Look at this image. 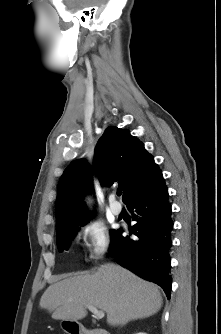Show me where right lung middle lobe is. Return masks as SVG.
Listing matches in <instances>:
<instances>
[{
	"instance_id": "dd1d6c3e",
	"label": "right lung middle lobe",
	"mask_w": 221,
	"mask_h": 334,
	"mask_svg": "<svg viewBox=\"0 0 221 334\" xmlns=\"http://www.w3.org/2000/svg\"><path fill=\"white\" fill-rule=\"evenodd\" d=\"M85 223H80V224H75L72 226H69L65 228L61 233H59L56 238H57V246L59 251H63L64 249L67 250L71 240L74 238L75 234L79 230L80 225H84ZM117 231H111V239L115 236Z\"/></svg>"
}]
</instances>
